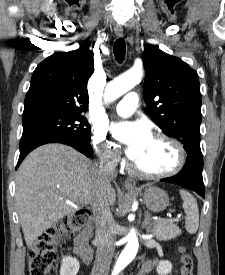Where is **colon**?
Segmentation results:
<instances>
[{"label":"colon","instance_id":"1","mask_svg":"<svg viewBox=\"0 0 225 275\" xmlns=\"http://www.w3.org/2000/svg\"><path fill=\"white\" fill-rule=\"evenodd\" d=\"M89 210H80L55 223L42 232L29 251V274L48 275L56 259L55 249L60 238L69 237L80 231L91 221ZM181 275H193V262L181 249Z\"/></svg>","mask_w":225,"mask_h":275}]
</instances>
